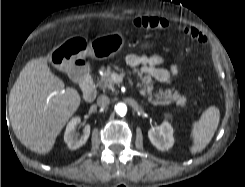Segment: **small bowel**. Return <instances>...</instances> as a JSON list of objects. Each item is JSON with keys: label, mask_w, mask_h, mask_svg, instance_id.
Wrapping results in <instances>:
<instances>
[{"label": "small bowel", "mask_w": 245, "mask_h": 187, "mask_svg": "<svg viewBox=\"0 0 245 187\" xmlns=\"http://www.w3.org/2000/svg\"><path fill=\"white\" fill-rule=\"evenodd\" d=\"M126 62L131 67L133 72L137 74H148L161 82L169 81L171 76L176 75L178 72L176 65H171L169 70L162 68V59L156 55L142 57L130 54L127 56Z\"/></svg>", "instance_id": "c3829d8e"}]
</instances>
